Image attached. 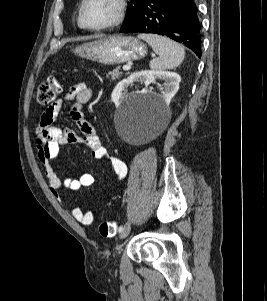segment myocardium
Returning <instances> with one entry per match:
<instances>
[{"mask_svg":"<svg viewBox=\"0 0 267 301\" xmlns=\"http://www.w3.org/2000/svg\"><path fill=\"white\" fill-rule=\"evenodd\" d=\"M87 2L88 0H82L79 7V22L81 26L87 30L102 31V30H107L116 27L123 22L125 15L127 13V8H128L127 0H115L117 4V12L111 21L104 23L102 25H89L85 20V6Z\"/></svg>","mask_w":267,"mask_h":301,"instance_id":"1","label":"myocardium"}]
</instances>
